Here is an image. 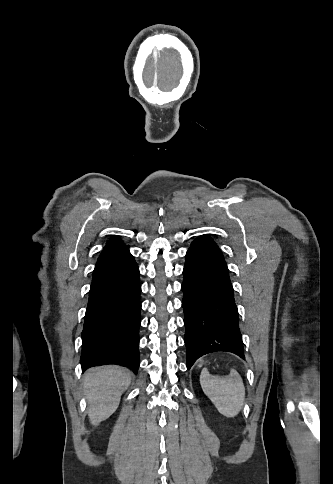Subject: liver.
<instances>
[{"label": "liver", "mask_w": 333, "mask_h": 484, "mask_svg": "<svg viewBox=\"0 0 333 484\" xmlns=\"http://www.w3.org/2000/svg\"><path fill=\"white\" fill-rule=\"evenodd\" d=\"M130 382V374L119 366L95 367L86 372L83 385L89 404L88 416L93 425L114 413Z\"/></svg>", "instance_id": "1"}]
</instances>
